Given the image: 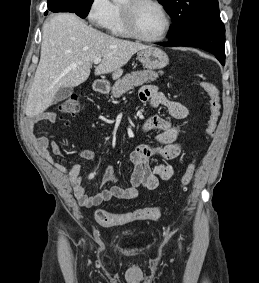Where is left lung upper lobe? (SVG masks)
<instances>
[{"label": "left lung upper lobe", "mask_w": 259, "mask_h": 283, "mask_svg": "<svg viewBox=\"0 0 259 283\" xmlns=\"http://www.w3.org/2000/svg\"><path fill=\"white\" fill-rule=\"evenodd\" d=\"M173 20L170 39L188 36L219 22L218 0H158Z\"/></svg>", "instance_id": "left-lung-upper-lobe-1"}]
</instances>
